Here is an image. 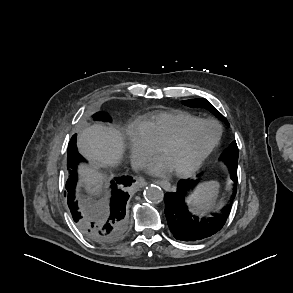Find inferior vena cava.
<instances>
[{"mask_svg": "<svg viewBox=\"0 0 293 293\" xmlns=\"http://www.w3.org/2000/svg\"><path fill=\"white\" fill-rule=\"evenodd\" d=\"M131 165L134 169H140L145 165V160L137 155L132 156Z\"/></svg>", "mask_w": 293, "mask_h": 293, "instance_id": "1", "label": "inferior vena cava"}]
</instances>
